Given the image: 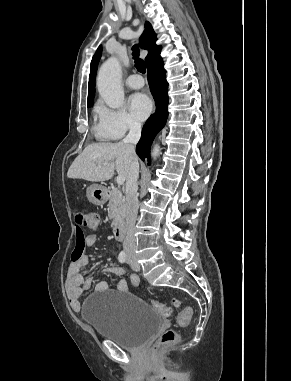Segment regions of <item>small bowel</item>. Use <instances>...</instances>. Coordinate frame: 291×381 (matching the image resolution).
<instances>
[{
  "label": "small bowel",
  "mask_w": 291,
  "mask_h": 381,
  "mask_svg": "<svg viewBox=\"0 0 291 381\" xmlns=\"http://www.w3.org/2000/svg\"><path fill=\"white\" fill-rule=\"evenodd\" d=\"M96 243H97V236L95 234L89 235L85 240V244L89 247L96 245ZM78 247L76 248V250L78 249ZM88 262H89L88 257L84 255L83 253L80 254V256L78 257H76L75 254H73L72 263L70 264L67 271L65 289H66L69 305L71 309L75 312H78L81 309V302L79 299L83 290L90 288L92 284L91 279H84L79 274L80 266L86 265ZM108 271L115 276H122L125 273L124 269L120 266H111L108 268ZM130 282L132 286L138 287L140 284V279L138 275L131 274ZM115 288L118 291H126L128 289L127 282L125 280H119L116 282ZM108 289H109V285L105 281H100L95 286V290L97 292L106 291Z\"/></svg>",
  "instance_id": "small-bowel-1"
}]
</instances>
